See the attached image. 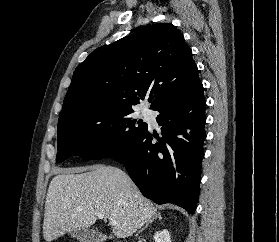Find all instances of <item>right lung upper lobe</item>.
Masks as SVG:
<instances>
[{
  "label": "right lung upper lobe",
  "mask_w": 279,
  "mask_h": 242,
  "mask_svg": "<svg viewBox=\"0 0 279 242\" xmlns=\"http://www.w3.org/2000/svg\"><path fill=\"white\" fill-rule=\"evenodd\" d=\"M200 86L182 33L170 23L153 24L99 47L76 68L58 124L132 110L148 93L156 110Z\"/></svg>",
  "instance_id": "1"
}]
</instances>
